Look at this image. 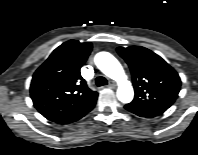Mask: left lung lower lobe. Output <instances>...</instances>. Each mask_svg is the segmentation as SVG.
<instances>
[{
    "label": "left lung lower lobe",
    "instance_id": "left-lung-lower-lobe-1",
    "mask_svg": "<svg viewBox=\"0 0 198 155\" xmlns=\"http://www.w3.org/2000/svg\"><path fill=\"white\" fill-rule=\"evenodd\" d=\"M125 109H127L128 111L138 115V116H142V117H155V116H158L162 113H159V112H146V111H142V110H139V109H136V108H133V107H130V106H127L125 105Z\"/></svg>",
    "mask_w": 198,
    "mask_h": 155
}]
</instances>
